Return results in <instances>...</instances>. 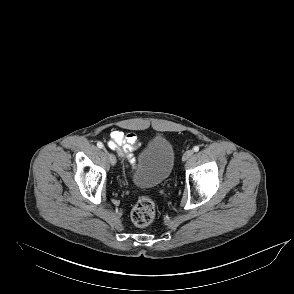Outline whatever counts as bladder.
<instances>
[{
  "mask_svg": "<svg viewBox=\"0 0 294 294\" xmlns=\"http://www.w3.org/2000/svg\"><path fill=\"white\" fill-rule=\"evenodd\" d=\"M175 162L172 142L164 135H156L141 152L134 184L138 187H156L170 176Z\"/></svg>",
  "mask_w": 294,
  "mask_h": 294,
  "instance_id": "1",
  "label": "bladder"
}]
</instances>
